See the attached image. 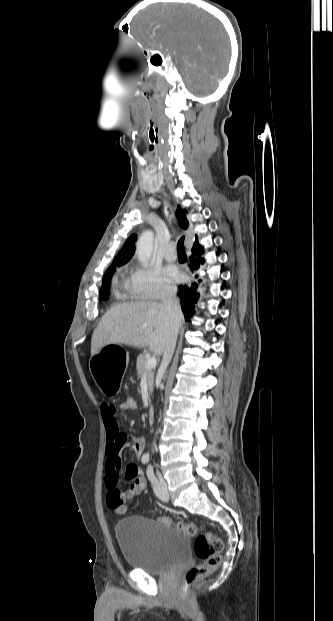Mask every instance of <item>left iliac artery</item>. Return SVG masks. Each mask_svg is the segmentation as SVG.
I'll return each mask as SVG.
<instances>
[{"instance_id":"obj_1","label":"left iliac artery","mask_w":333,"mask_h":621,"mask_svg":"<svg viewBox=\"0 0 333 621\" xmlns=\"http://www.w3.org/2000/svg\"><path fill=\"white\" fill-rule=\"evenodd\" d=\"M146 474L147 477L149 479V481L152 483L154 489L156 488V486L158 485V481L156 476L154 475V471H153V466L152 465H148L147 470H146Z\"/></svg>"}]
</instances>
